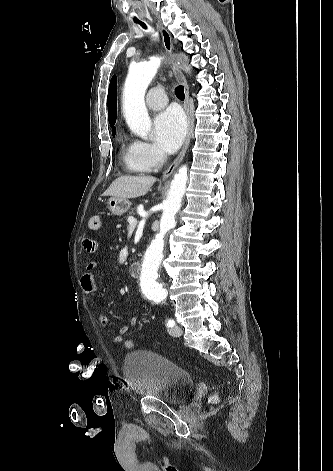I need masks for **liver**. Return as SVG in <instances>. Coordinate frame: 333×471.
Masks as SVG:
<instances>
[{
  "mask_svg": "<svg viewBox=\"0 0 333 471\" xmlns=\"http://www.w3.org/2000/svg\"><path fill=\"white\" fill-rule=\"evenodd\" d=\"M155 182L156 178L152 176H120L111 183L103 195L126 199L137 198L147 194Z\"/></svg>",
  "mask_w": 333,
  "mask_h": 471,
  "instance_id": "liver-1",
  "label": "liver"
}]
</instances>
